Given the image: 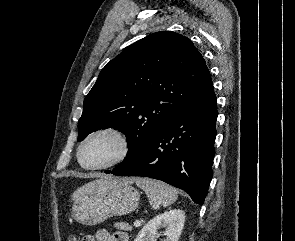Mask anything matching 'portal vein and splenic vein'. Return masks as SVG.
<instances>
[{"mask_svg": "<svg viewBox=\"0 0 295 241\" xmlns=\"http://www.w3.org/2000/svg\"><path fill=\"white\" fill-rule=\"evenodd\" d=\"M133 225L135 227H139L141 225V222L139 220H135L134 223H133Z\"/></svg>", "mask_w": 295, "mask_h": 241, "instance_id": "1", "label": "portal vein and splenic vein"}]
</instances>
